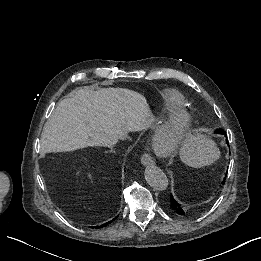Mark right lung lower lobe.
<instances>
[{
    "label": "right lung lower lobe",
    "instance_id": "obj_1",
    "mask_svg": "<svg viewBox=\"0 0 261 261\" xmlns=\"http://www.w3.org/2000/svg\"><path fill=\"white\" fill-rule=\"evenodd\" d=\"M115 218H117V217H115ZM115 218H114V219H115ZM114 219H113V220H114ZM113 220H112V221H113ZM112 221H110V222H112ZM110 222H107V223H105V224H103V225H101V226H94V228H102V227H105V226H107Z\"/></svg>",
    "mask_w": 261,
    "mask_h": 261
}]
</instances>
